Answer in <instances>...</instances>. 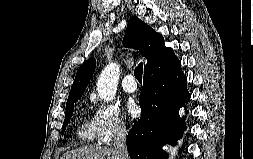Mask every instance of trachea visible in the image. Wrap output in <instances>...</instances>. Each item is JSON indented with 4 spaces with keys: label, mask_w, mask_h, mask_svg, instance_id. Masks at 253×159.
Here are the masks:
<instances>
[{
    "label": "trachea",
    "mask_w": 253,
    "mask_h": 159,
    "mask_svg": "<svg viewBox=\"0 0 253 159\" xmlns=\"http://www.w3.org/2000/svg\"><path fill=\"white\" fill-rule=\"evenodd\" d=\"M134 75L139 82H142V75H143V64L142 63H139L138 66L135 68Z\"/></svg>",
    "instance_id": "obj_1"
}]
</instances>
